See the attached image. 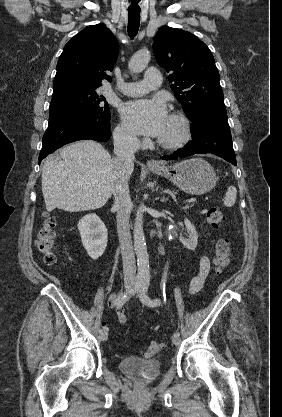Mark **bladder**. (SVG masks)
I'll return each instance as SVG.
<instances>
[{"instance_id": "1", "label": "bladder", "mask_w": 282, "mask_h": 417, "mask_svg": "<svg viewBox=\"0 0 282 417\" xmlns=\"http://www.w3.org/2000/svg\"><path fill=\"white\" fill-rule=\"evenodd\" d=\"M119 369L133 382L146 385L160 374L161 365L157 359L125 356L119 363Z\"/></svg>"}]
</instances>
